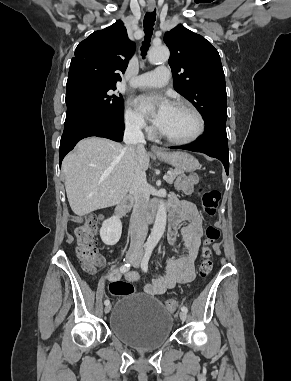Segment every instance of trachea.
Instances as JSON below:
<instances>
[{
  "instance_id": "1",
  "label": "trachea",
  "mask_w": 291,
  "mask_h": 381,
  "mask_svg": "<svg viewBox=\"0 0 291 381\" xmlns=\"http://www.w3.org/2000/svg\"><path fill=\"white\" fill-rule=\"evenodd\" d=\"M156 19V10L152 12H147L144 17L143 26H144V32H145V41L143 42V46L141 48L142 50V56L145 57L147 53V49L149 46L150 38L153 31L154 22Z\"/></svg>"
}]
</instances>
